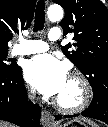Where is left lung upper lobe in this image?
Segmentation results:
<instances>
[{
    "mask_svg": "<svg viewBox=\"0 0 108 127\" xmlns=\"http://www.w3.org/2000/svg\"><path fill=\"white\" fill-rule=\"evenodd\" d=\"M65 10L60 22L73 33L75 49L62 47L65 56L89 80L93 92H108V9L100 0H54Z\"/></svg>",
    "mask_w": 108,
    "mask_h": 127,
    "instance_id": "5c2ea615",
    "label": "left lung upper lobe"
}]
</instances>
